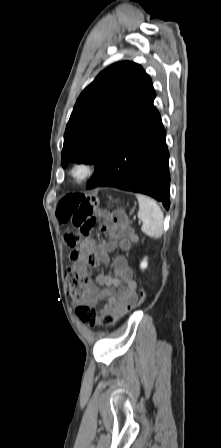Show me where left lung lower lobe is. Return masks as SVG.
<instances>
[{
	"mask_svg": "<svg viewBox=\"0 0 221 448\" xmlns=\"http://www.w3.org/2000/svg\"><path fill=\"white\" fill-rule=\"evenodd\" d=\"M156 107L113 151L106 163L96 169L87 189L116 187L149 195L170 206L169 152Z\"/></svg>",
	"mask_w": 221,
	"mask_h": 448,
	"instance_id": "obj_1",
	"label": "left lung lower lobe"
}]
</instances>
